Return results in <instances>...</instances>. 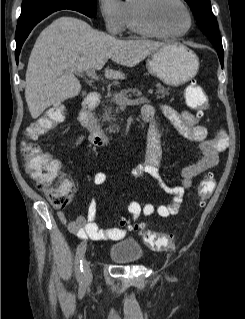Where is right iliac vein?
<instances>
[{
  "label": "right iliac vein",
  "mask_w": 245,
  "mask_h": 319,
  "mask_svg": "<svg viewBox=\"0 0 245 319\" xmlns=\"http://www.w3.org/2000/svg\"><path fill=\"white\" fill-rule=\"evenodd\" d=\"M83 245L86 246V243L83 242ZM83 276H84V282L86 284L90 283L92 280V272L89 265V262L87 260H84L83 262Z\"/></svg>",
  "instance_id": "right-iliac-vein-1"
}]
</instances>
